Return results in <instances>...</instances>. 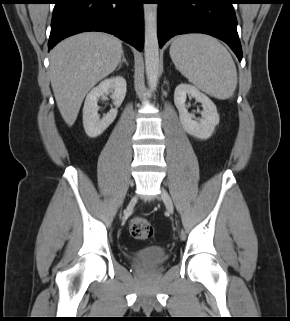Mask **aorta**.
Wrapping results in <instances>:
<instances>
[{
  "mask_svg": "<svg viewBox=\"0 0 290 321\" xmlns=\"http://www.w3.org/2000/svg\"><path fill=\"white\" fill-rule=\"evenodd\" d=\"M157 4H145L144 10V55L148 86L157 87L159 76V43L157 36Z\"/></svg>",
  "mask_w": 290,
  "mask_h": 321,
  "instance_id": "1",
  "label": "aorta"
}]
</instances>
